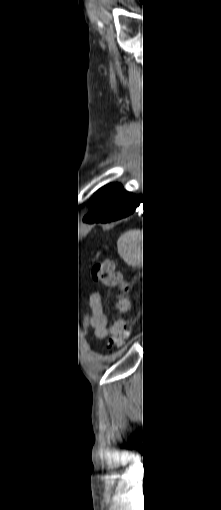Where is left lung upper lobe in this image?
I'll return each mask as SVG.
<instances>
[{
	"instance_id": "obj_1",
	"label": "left lung upper lobe",
	"mask_w": 221,
	"mask_h": 510,
	"mask_svg": "<svg viewBox=\"0 0 221 510\" xmlns=\"http://www.w3.org/2000/svg\"><path fill=\"white\" fill-rule=\"evenodd\" d=\"M122 190H124L123 187L118 183L108 184L100 188L92 197L89 210H97L108 205Z\"/></svg>"
}]
</instances>
